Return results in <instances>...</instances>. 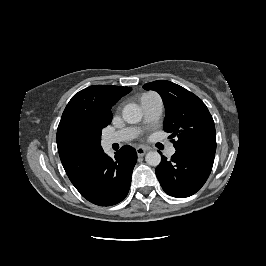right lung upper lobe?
Masks as SVG:
<instances>
[{"mask_svg": "<svg viewBox=\"0 0 266 266\" xmlns=\"http://www.w3.org/2000/svg\"><path fill=\"white\" fill-rule=\"evenodd\" d=\"M131 88L93 85L77 94L67 104L56 134L62 165L77 187L87 178L102 154L101 131L112 119L111 107Z\"/></svg>", "mask_w": 266, "mask_h": 266, "instance_id": "1", "label": "right lung upper lobe"}]
</instances>
